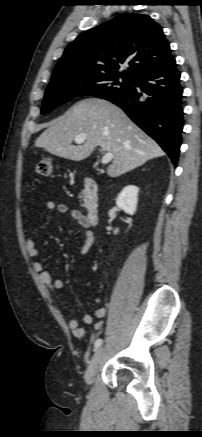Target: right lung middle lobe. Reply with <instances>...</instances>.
Here are the masks:
<instances>
[{"label": "right lung middle lobe", "mask_w": 202, "mask_h": 437, "mask_svg": "<svg viewBox=\"0 0 202 437\" xmlns=\"http://www.w3.org/2000/svg\"><path fill=\"white\" fill-rule=\"evenodd\" d=\"M122 80L119 81L118 79ZM133 77L121 73L69 77L51 81L42 104V114L79 96H94L102 99L128 91Z\"/></svg>", "instance_id": "right-lung-middle-lobe-1"}]
</instances>
